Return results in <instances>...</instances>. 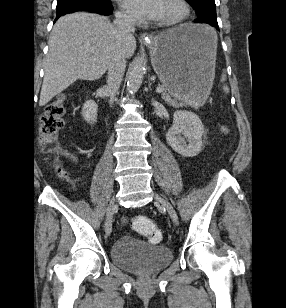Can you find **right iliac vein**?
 I'll return each mask as SVG.
<instances>
[{
	"label": "right iliac vein",
	"mask_w": 286,
	"mask_h": 308,
	"mask_svg": "<svg viewBox=\"0 0 286 308\" xmlns=\"http://www.w3.org/2000/svg\"><path fill=\"white\" fill-rule=\"evenodd\" d=\"M117 204L114 199H112L107 208L106 220H105V231L107 235L111 234L112 231V219L113 214L116 210Z\"/></svg>",
	"instance_id": "1"
}]
</instances>
